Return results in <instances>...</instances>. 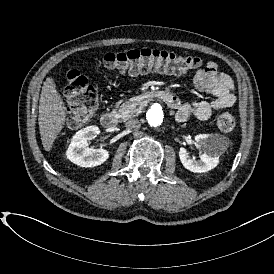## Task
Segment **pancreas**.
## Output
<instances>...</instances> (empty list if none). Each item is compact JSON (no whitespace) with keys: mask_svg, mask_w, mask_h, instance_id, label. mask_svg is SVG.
I'll return each instance as SVG.
<instances>
[{"mask_svg":"<svg viewBox=\"0 0 274 274\" xmlns=\"http://www.w3.org/2000/svg\"><path fill=\"white\" fill-rule=\"evenodd\" d=\"M137 100L131 98L129 101L123 103L119 109H114L119 117L120 121H126L133 116H137L140 113V108Z\"/></svg>","mask_w":274,"mask_h":274,"instance_id":"1","label":"pancreas"}]
</instances>
